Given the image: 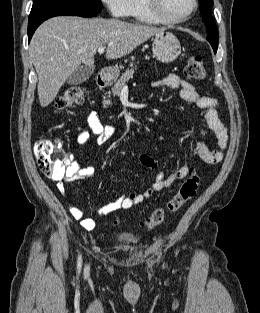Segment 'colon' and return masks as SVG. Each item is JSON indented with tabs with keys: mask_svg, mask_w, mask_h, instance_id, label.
Wrapping results in <instances>:
<instances>
[{
	"mask_svg": "<svg viewBox=\"0 0 260 313\" xmlns=\"http://www.w3.org/2000/svg\"><path fill=\"white\" fill-rule=\"evenodd\" d=\"M185 76L192 80L201 81L206 78V71L200 57L189 59L185 67ZM85 91L81 86L68 88L54 103L56 110H65L83 102ZM34 153L41 172L48 178L60 180L66 174L70 164L69 157L58 142L47 138H40L35 142ZM200 178L191 174L181 185L179 191L167 203L156 208L143 222L152 229L163 223L167 213H174L181 209L197 193Z\"/></svg>",
	"mask_w": 260,
	"mask_h": 313,
	"instance_id": "1",
	"label": "colon"
}]
</instances>
